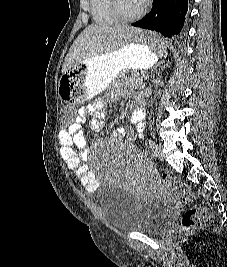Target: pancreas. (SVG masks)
Here are the masks:
<instances>
[{
	"label": "pancreas",
	"mask_w": 227,
	"mask_h": 267,
	"mask_svg": "<svg viewBox=\"0 0 227 267\" xmlns=\"http://www.w3.org/2000/svg\"><path fill=\"white\" fill-rule=\"evenodd\" d=\"M114 84L131 87L134 89H141L143 87L141 79L136 74L128 75L125 71H123L117 77Z\"/></svg>",
	"instance_id": "1"
}]
</instances>
